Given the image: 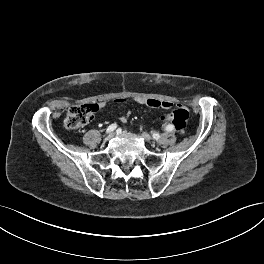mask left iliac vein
Masks as SVG:
<instances>
[{
  "instance_id": "obj_1",
  "label": "left iliac vein",
  "mask_w": 264,
  "mask_h": 264,
  "mask_svg": "<svg viewBox=\"0 0 264 264\" xmlns=\"http://www.w3.org/2000/svg\"><path fill=\"white\" fill-rule=\"evenodd\" d=\"M142 138L145 139L146 141H151V136L148 133H142L141 134Z\"/></svg>"
}]
</instances>
